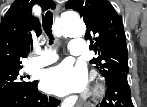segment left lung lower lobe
I'll use <instances>...</instances> for the list:
<instances>
[{"label":"left lung lower lobe","instance_id":"left-lung-lower-lobe-1","mask_svg":"<svg viewBox=\"0 0 147 107\" xmlns=\"http://www.w3.org/2000/svg\"><path fill=\"white\" fill-rule=\"evenodd\" d=\"M107 91L105 98L96 107H134L131 100L127 73H120L106 80Z\"/></svg>","mask_w":147,"mask_h":107}]
</instances>
